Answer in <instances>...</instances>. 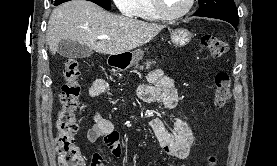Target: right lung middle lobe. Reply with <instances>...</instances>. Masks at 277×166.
<instances>
[{
  "instance_id": "right-lung-middle-lobe-1",
  "label": "right lung middle lobe",
  "mask_w": 277,
  "mask_h": 166,
  "mask_svg": "<svg viewBox=\"0 0 277 166\" xmlns=\"http://www.w3.org/2000/svg\"><path fill=\"white\" fill-rule=\"evenodd\" d=\"M66 1H69V0H55L54 5H59V4L64 3ZM88 1H92V2L96 3L97 5L103 7L106 10L111 9L110 0H88Z\"/></svg>"
}]
</instances>
